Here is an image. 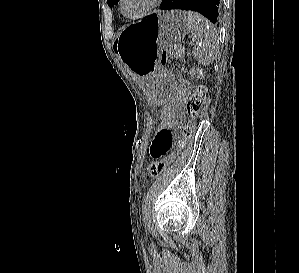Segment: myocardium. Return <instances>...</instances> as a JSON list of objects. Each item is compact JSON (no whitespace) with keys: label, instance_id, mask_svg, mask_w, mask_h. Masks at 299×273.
Listing matches in <instances>:
<instances>
[{"label":"myocardium","instance_id":"f54148a6","mask_svg":"<svg viewBox=\"0 0 299 273\" xmlns=\"http://www.w3.org/2000/svg\"><path fill=\"white\" fill-rule=\"evenodd\" d=\"M161 1L162 0H151L150 3L148 4V6L140 13L135 14V15H128L123 10L124 0H119V10H120L121 14L123 16H125L126 18L139 19V18H142V17L148 15L150 12H152L161 3Z\"/></svg>","mask_w":299,"mask_h":273}]
</instances>
